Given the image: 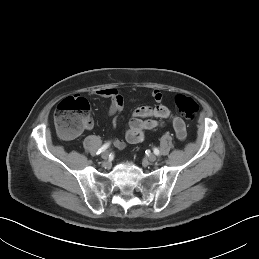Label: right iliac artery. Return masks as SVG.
<instances>
[{
    "instance_id": "obj_1",
    "label": "right iliac artery",
    "mask_w": 259,
    "mask_h": 259,
    "mask_svg": "<svg viewBox=\"0 0 259 259\" xmlns=\"http://www.w3.org/2000/svg\"><path fill=\"white\" fill-rule=\"evenodd\" d=\"M109 147V143L104 144L97 152V154H100L101 152L105 151Z\"/></svg>"
}]
</instances>
